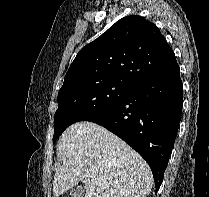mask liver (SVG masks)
Here are the masks:
<instances>
[{
    "label": "liver",
    "mask_w": 209,
    "mask_h": 197,
    "mask_svg": "<svg viewBox=\"0 0 209 197\" xmlns=\"http://www.w3.org/2000/svg\"><path fill=\"white\" fill-rule=\"evenodd\" d=\"M63 161L54 175L53 195L82 182L85 197H146L153 177L145 160L121 138L92 122L69 126L58 141Z\"/></svg>",
    "instance_id": "liver-1"
}]
</instances>
